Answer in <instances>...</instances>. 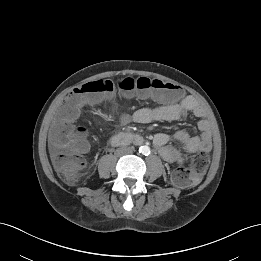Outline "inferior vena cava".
Here are the masks:
<instances>
[{"mask_svg":"<svg viewBox=\"0 0 261 261\" xmlns=\"http://www.w3.org/2000/svg\"><path fill=\"white\" fill-rule=\"evenodd\" d=\"M134 148L133 147H120L118 148L117 152L121 155H127L131 154L133 152Z\"/></svg>","mask_w":261,"mask_h":261,"instance_id":"obj_1","label":"inferior vena cava"}]
</instances>
